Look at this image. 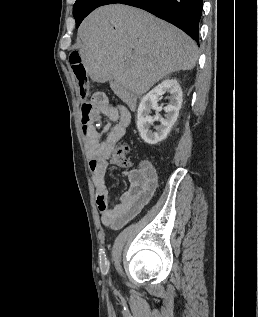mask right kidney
<instances>
[{
	"instance_id": "1",
	"label": "right kidney",
	"mask_w": 258,
	"mask_h": 317,
	"mask_svg": "<svg viewBox=\"0 0 258 317\" xmlns=\"http://www.w3.org/2000/svg\"><path fill=\"white\" fill-rule=\"evenodd\" d=\"M170 92V100L166 106H158V98ZM182 104V88L176 80V78H165L160 84H157L155 88H152L150 92H147L141 102H139L137 110V128L145 142L148 144H157L160 140L167 138L175 120L178 118L179 110ZM151 108H154L156 112H160L164 108L166 114L165 118L156 114V116H150ZM154 120H160L161 124L156 126V130H151V124Z\"/></svg>"
}]
</instances>
